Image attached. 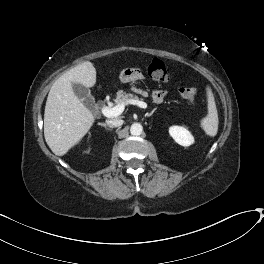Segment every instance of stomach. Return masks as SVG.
Returning a JSON list of instances; mask_svg holds the SVG:
<instances>
[{
    "label": "stomach",
    "mask_w": 264,
    "mask_h": 264,
    "mask_svg": "<svg viewBox=\"0 0 264 264\" xmlns=\"http://www.w3.org/2000/svg\"><path fill=\"white\" fill-rule=\"evenodd\" d=\"M141 78L142 73L139 68H124L119 75V79L122 83L134 82Z\"/></svg>",
    "instance_id": "0dacf381"
}]
</instances>
